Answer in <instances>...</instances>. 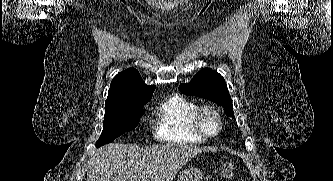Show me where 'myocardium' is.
I'll list each match as a JSON object with an SVG mask.
<instances>
[{
	"label": "myocardium",
	"mask_w": 333,
	"mask_h": 181,
	"mask_svg": "<svg viewBox=\"0 0 333 181\" xmlns=\"http://www.w3.org/2000/svg\"><path fill=\"white\" fill-rule=\"evenodd\" d=\"M210 114L212 115L217 122V129L214 133H208L202 126V119L205 115ZM192 126L194 131L200 135L201 137L205 138H213L216 137L221 129H222V119L219 112L212 106L205 105L198 108L195 114L192 117Z\"/></svg>",
	"instance_id": "myocardium-1"
}]
</instances>
